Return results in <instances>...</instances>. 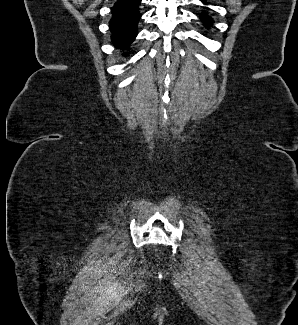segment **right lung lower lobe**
<instances>
[{
    "label": "right lung lower lobe",
    "mask_w": 298,
    "mask_h": 325,
    "mask_svg": "<svg viewBox=\"0 0 298 325\" xmlns=\"http://www.w3.org/2000/svg\"><path fill=\"white\" fill-rule=\"evenodd\" d=\"M141 0H117L112 7L109 22L112 40L118 49H128L137 36V25L141 18Z\"/></svg>",
    "instance_id": "98d812e1"
}]
</instances>
